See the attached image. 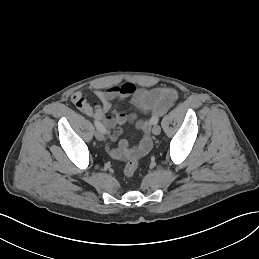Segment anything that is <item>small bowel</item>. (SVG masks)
Returning a JSON list of instances; mask_svg holds the SVG:
<instances>
[{
	"label": "small bowel",
	"instance_id": "c3829d8e",
	"mask_svg": "<svg viewBox=\"0 0 259 259\" xmlns=\"http://www.w3.org/2000/svg\"><path fill=\"white\" fill-rule=\"evenodd\" d=\"M94 95L99 102L90 104L85 93L75 92L71 96L72 103L86 116L101 121L108 129L112 130L106 150L109 155L117 160L126 158H139L149 152L152 146L150 137L154 118L163 115L177 99V92L172 88H137L133 83L111 86L108 88L94 87ZM131 98L134 106L142 110L150 118L141 120L134 114L115 111L114 115L107 112L114 106L115 102L125 98ZM128 121H133L136 128L141 132V139L136 147L131 148L128 140H121L118 147L112 143L121 134V126ZM103 125V126H104Z\"/></svg>",
	"mask_w": 259,
	"mask_h": 259
}]
</instances>
